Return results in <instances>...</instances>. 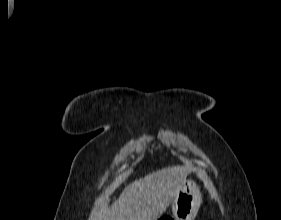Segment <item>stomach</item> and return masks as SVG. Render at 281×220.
Segmentation results:
<instances>
[{"mask_svg":"<svg viewBox=\"0 0 281 220\" xmlns=\"http://www.w3.org/2000/svg\"><path fill=\"white\" fill-rule=\"evenodd\" d=\"M202 202L199 187L193 180H186L172 201L175 220H194ZM163 217H160V219Z\"/></svg>","mask_w":281,"mask_h":220,"instance_id":"0dacf381","label":"stomach"}]
</instances>
